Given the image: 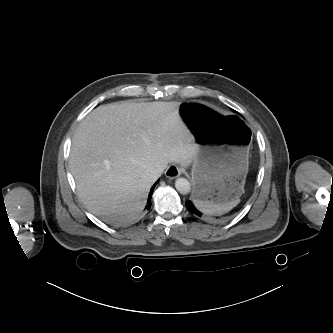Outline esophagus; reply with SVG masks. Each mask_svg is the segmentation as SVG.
<instances>
[{"instance_id":"1","label":"esophagus","mask_w":333,"mask_h":333,"mask_svg":"<svg viewBox=\"0 0 333 333\" xmlns=\"http://www.w3.org/2000/svg\"><path fill=\"white\" fill-rule=\"evenodd\" d=\"M183 171H184V169L182 167L171 165L165 171V175L169 179H174V178L180 176L183 173Z\"/></svg>"}]
</instances>
